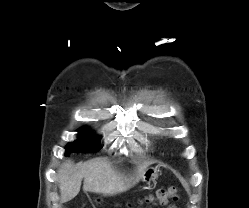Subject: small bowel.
<instances>
[{
	"mask_svg": "<svg viewBox=\"0 0 249 208\" xmlns=\"http://www.w3.org/2000/svg\"><path fill=\"white\" fill-rule=\"evenodd\" d=\"M169 208H176L175 206H170Z\"/></svg>",
	"mask_w": 249,
	"mask_h": 208,
	"instance_id": "obj_1",
	"label": "small bowel"
}]
</instances>
